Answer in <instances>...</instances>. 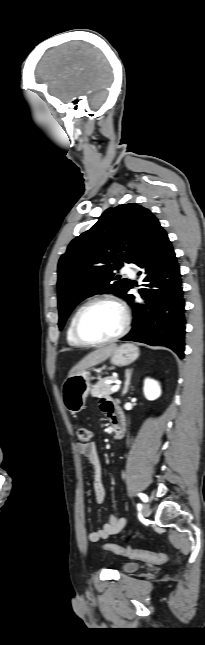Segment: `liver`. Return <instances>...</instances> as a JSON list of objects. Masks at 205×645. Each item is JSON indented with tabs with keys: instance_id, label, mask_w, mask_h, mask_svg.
<instances>
[{
	"instance_id": "1",
	"label": "liver",
	"mask_w": 205,
	"mask_h": 645,
	"mask_svg": "<svg viewBox=\"0 0 205 645\" xmlns=\"http://www.w3.org/2000/svg\"><path fill=\"white\" fill-rule=\"evenodd\" d=\"M117 348L116 344L103 346L85 356L77 365H75L69 372L68 377L86 371L101 362L105 361Z\"/></svg>"
}]
</instances>
